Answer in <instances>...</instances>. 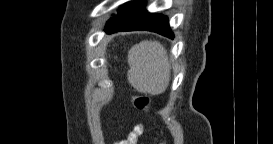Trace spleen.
I'll return each instance as SVG.
<instances>
[{
	"mask_svg": "<svg viewBox=\"0 0 273 144\" xmlns=\"http://www.w3.org/2000/svg\"><path fill=\"white\" fill-rule=\"evenodd\" d=\"M127 77L136 90L151 95L163 93L170 80V65L165 48L157 41H141L128 52Z\"/></svg>",
	"mask_w": 273,
	"mask_h": 144,
	"instance_id": "1",
	"label": "spleen"
}]
</instances>
